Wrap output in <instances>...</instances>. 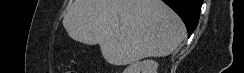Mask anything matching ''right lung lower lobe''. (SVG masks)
<instances>
[{"label":"right lung lower lobe","instance_id":"right-lung-lower-lobe-1","mask_svg":"<svg viewBox=\"0 0 244 73\" xmlns=\"http://www.w3.org/2000/svg\"><path fill=\"white\" fill-rule=\"evenodd\" d=\"M171 7L183 20L191 36L197 27L202 0H162Z\"/></svg>","mask_w":244,"mask_h":73}]
</instances>
